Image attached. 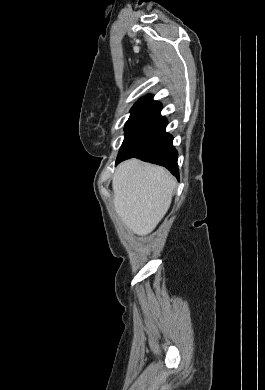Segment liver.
Masks as SVG:
<instances>
[{"instance_id":"obj_1","label":"liver","mask_w":265,"mask_h":390,"mask_svg":"<svg viewBox=\"0 0 265 390\" xmlns=\"http://www.w3.org/2000/svg\"><path fill=\"white\" fill-rule=\"evenodd\" d=\"M175 185V178L163 167L137 159L124 161L112 181L115 210L129 230L146 236L167 213Z\"/></svg>"}]
</instances>
